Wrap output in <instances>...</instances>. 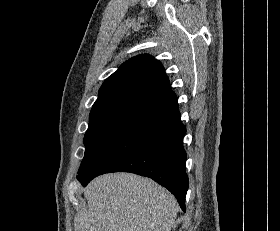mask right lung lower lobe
<instances>
[{"instance_id": "right-lung-lower-lobe-1", "label": "right lung lower lobe", "mask_w": 280, "mask_h": 231, "mask_svg": "<svg viewBox=\"0 0 280 231\" xmlns=\"http://www.w3.org/2000/svg\"><path fill=\"white\" fill-rule=\"evenodd\" d=\"M186 128L178 107L135 124L108 143L77 179L86 186L98 175L131 172L167 188L185 211L188 176L182 140Z\"/></svg>"}]
</instances>
